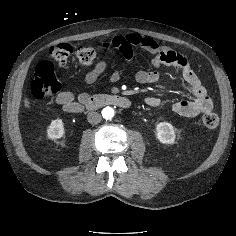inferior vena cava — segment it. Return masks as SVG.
Listing matches in <instances>:
<instances>
[{
	"label": "inferior vena cava",
	"mask_w": 236,
	"mask_h": 236,
	"mask_svg": "<svg viewBox=\"0 0 236 236\" xmlns=\"http://www.w3.org/2000/svg\"><path fill=\"white\" fill-rule=\"evenodd\" d=\"M101 119V115L98 112H89L87 115V120L90 124H98Z\"/></svg>",
	"instance_id": "inferior-vena-cava-1"
}]
</instances>
